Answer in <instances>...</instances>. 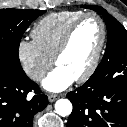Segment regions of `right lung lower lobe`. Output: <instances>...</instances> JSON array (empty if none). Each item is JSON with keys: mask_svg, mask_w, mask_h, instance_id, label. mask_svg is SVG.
<instances>
[{"mask_svg": "<svg viewBox=\"0 0 127 127\" xmlns=\"http://www.w3.org/2000/svg\"><path fill=\"white\" fill-rule=\"evenodd\" d=\"M34 91L31 100L27 94ZM48 104L46 95L23 69L0 60V127H33V117Z\"/></svg>", "mask_w": 127, "mask_h": 127, "instance_id": "obj_1", "label": "right lung lower lobe"}]
</instances>
